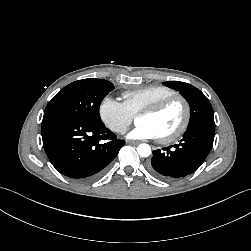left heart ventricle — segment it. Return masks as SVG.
<instances>
[{
	"label": "left heart ventricle",
	"instance_id": "b2bd125f",
	"mask_svg": "<svg viewBox=\"0 0 251 251\" xmlns=\"http://www.w3.org/2000/svg\"><path fill=\"white\" fill-rule=\"evenodd\" d=\"M183 115L182 104L175 102L159 114L138 117L137 122L150 125L156 131L158 137H161L175 131L179 127Z\"/></svg>",
	"mask_w": 251,
	"mask_h": 251
}]
</instances>
